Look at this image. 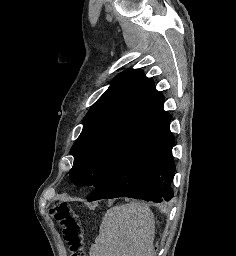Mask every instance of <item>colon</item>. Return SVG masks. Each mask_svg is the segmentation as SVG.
<instances>
[{"mask_svg":"<svg viewBox=\"0 0 236 256\" xmlns=\"http://www.w3.org/2000/svg\"><path fill=\"white\" fill-rule=\"evenodd\" d=\"M49 214L61 226L62 236L71 256H86L83 230L76 209L65 201H56Z\"/></svg>","mask_w":236,"mask_h":256,"instance_id":"1","label":"colon"}]
</instances>
